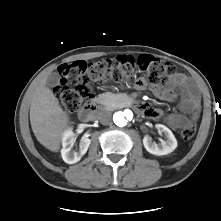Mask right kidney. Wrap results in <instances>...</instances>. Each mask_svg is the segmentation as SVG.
Listing matches in <instances>:
<instances>
[{"label": "right kidney", "mask_w": 221, "mask_h": 221, "mask_svg": "<svg viewBox=\"0 0 221 221\" xmlns=\"http://www.w3.org/2000/svg\"><path fill=\"white\" fill-rule=\"evenodd\" d=\"M75 143L74 133L72 128H68L62 137V150L61 155L65 163L74 164L77 163L82 156L87 152L88 147L91 143V140L85 136L81 138V143L79 147V151H75L72 149Z\"/></svg>", "instance_id": "obj_1"}]
</instances>
